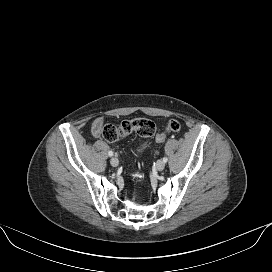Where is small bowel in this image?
Returning a JSON list of instances; mask_svg holds the SVG:
<instances>
[{
    "label": "small bowel",
    "mask_w": 272,
    "mask_h": 272,
    "mask_svg": "<svg viewBox=\"0 0 272 272\" xmlns=\"http://www.w3.org/2000/svg\"><path fill=\"white\" fill-rule=\"evenodd\" d=\"M102 127H103V119L102 118L95 119L91 125V130L93 135L99 136L101 133ZM157 142H161V141H157Z\"/></svg>",
    "instance_id": "obj_1"
}]
</instances>
